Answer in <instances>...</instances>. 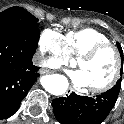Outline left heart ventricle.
Here are the masks:
<instances>
[{"label": "left heart ventricle", "mask_w": 124, "mask_h": 124, "mask_svg": "<svg viewBox=\"0 0 124 124\" xmlns=\"http://www.w3.org/2000/svg\"><path fill=\"white\" fill-rule=\"evenodd\" d=\"M78 68L84 73L88 87L104 85L115 71V53L111 49L104 50L93 59L79 63Z\"/></svg>", "instance_id": "obj_1"}]
</instances>
